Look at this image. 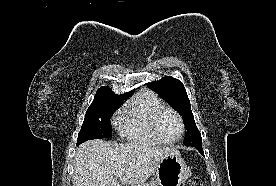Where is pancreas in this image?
I'll use <instances>...</instances> for the list:
<instances>
[{
  "label": "pancreas",
  "mask_w": 276,
  "mask_h": 186,
  "mask_svg": "<svg viewBox=\"0 0 276 186\" xmlns=\"http://www.w3.org/2000/svg\"><path fill=\"white\" fill-rule=\"evenodd\" d=\"M141 186H158V185H157L156 181H155V182H154V181H151V182H149V183L142 184Z\"/></svg>",
  "instance_id": "cf45deb5"
}]
</instances>
